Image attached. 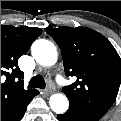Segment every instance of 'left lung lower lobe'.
Listing matches in <instances>:
<instances>
[{"label": "left lung lower lobe", "mask_w": 121, "mask_h": 121, "mask_svg": "<svg viewBox=\"0 0 121 121\" xmlns=\"http://www.w3.org/2000/svg\"><path fill=\"white\" fill-rule=\"evenodd\" d=\"M59 121H98V118L83 115L73 110H68L66 113L57 115Z\"/></svg>", "instance_id": "1"}]
</instances>
